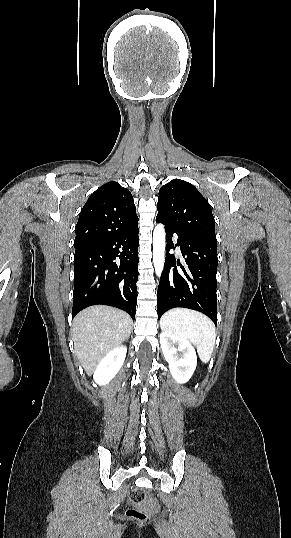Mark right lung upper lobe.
<instances>
[{
	"label": "right lung upper lobe",
	"instance_id": "cb5924a9",
	"mask_svg": "<svg viewBox=\"0 0 291 538\" xmlns=\"http://www.w3.org/2000/svg\"><path fill=\"white\" fill-rule=\"evenodd\" d=\"M138 224L130 191L111 181L98 188L82 208L76 225L75 248L92 245Z\"/></svg>",
	"mask_w": 291,
	"mask_h": 538
}]
</instances>
